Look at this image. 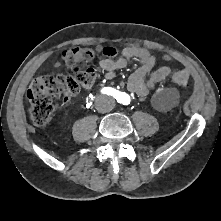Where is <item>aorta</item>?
Returning <instances> with one entry per match:
<instances>
[{
    "instance_id": "obj_1",
    "label": "aorta",
    "mask_w": 221,
    "mask_h": 221,
    "mask_svg": "<svg viewBox=\"0 0 221 221\" xmlns=\"http://www.w3.org/2000/svg\"><path fill=\"white\" fill-rule=\"evenodd\" d=\"M129 102V97L127 95H125L123 98H122V103H128Z\"/></svg>"
}]
</instances>
